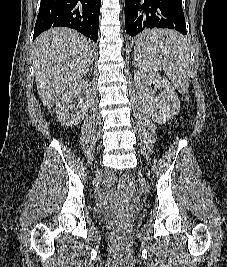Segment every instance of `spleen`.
<instances>
[{"label": "spleen", "instance_id": "spleen-1", "mask_svg": "<svg viewBox=\"0 0 227 267\" xmlns=\"http://www.w3.org/2000/svg\"><path fill=\"white\" fill-rule=\"evenodd\" d=\"M133 55L139 67L156 77L163 69L175 88L185 92L189 86L190 58L187 40L172 30L154 29L134 38Z\"/></svg>", "mask_w": 227, "mask_h": 267}]
</instances>
